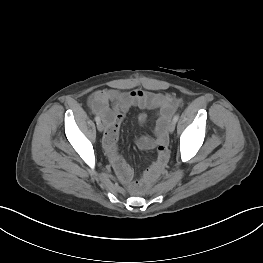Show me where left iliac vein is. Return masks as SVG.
I'll list each match as a JSON object with an SVG mask.
<instances>
[{
    "mask_svg": "<svg viewBox=\"0 0 263 263\" xmlns=\"http://www.w3.org/2000/svg\"><path fill=\"white\" fill-rule=\"evenodd\" d=\"M175 125H176V122L174 120H172L168 126V131L170 133H172L174 130H175Z\"/></svg>",
    "mask_w": 263,
    "mask_h": 263,
    "instance_id": "left-iliac-vein-1",
    "label": "left iliac vein"
}]
</instances>
